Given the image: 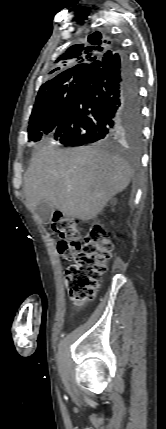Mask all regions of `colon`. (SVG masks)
I'll return each instance as SVG.
<instances>
[{"label":"colon","mask_w":166,"mask_h":429,"mask_svg":"<svg viewBox=\"0 0 166 429\" xmlns=\"http://www.w3.org/2000/svg\"><path fill=\"white\" fill-rule=\"evenodd\" d=\"M52 228L58 236V255L74 261L67 271L66 280L70 301L75 307H83L96 296L99 281L112 254L111 239L103 225L93 224L81 244L76 221L62 214L53 217Z\"/></svg>","instance_id":"colon-1"}]
</instances>
